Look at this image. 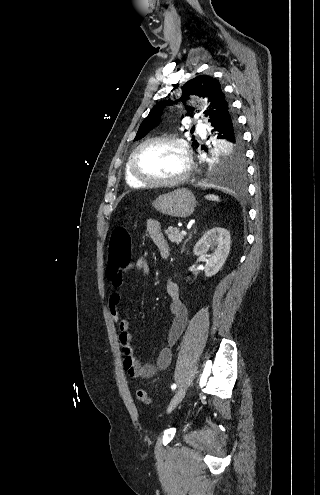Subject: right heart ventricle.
<instances>
[{
	"instance_id": "e07e8e85",
	"label": "right heart ventricle",
	"mask_w": 320,
	"mask_h": 495,
	"mask_svg": "<svg viewBox=\"0 0 320 495\" xmlns=\"http://www.w3.org/2000/svg\"><path fill=\"white\" fill-rule=\"evenodd\" d=\"M124 174H125V180L127 182V184L131 187H134V188H140V187H144L145 185L142 184L141 182L137 181L131 174L130 170H129V158L126 162V165H125V170H124Z\"/></svg>"
}]
</instances>
